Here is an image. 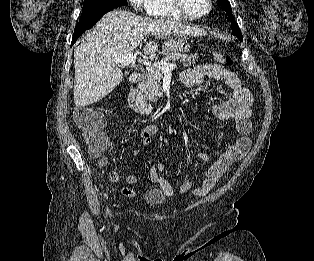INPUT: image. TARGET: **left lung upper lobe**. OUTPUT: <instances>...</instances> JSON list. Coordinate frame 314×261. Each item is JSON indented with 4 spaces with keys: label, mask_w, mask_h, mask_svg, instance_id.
<instances>
[{
    "label": "left lung upper lobe",
    "mask_w": 314,
    "mask_h": 261,
    "mask_svg": "<svg viewBox=\"0 0 314 261\" xmlns=\"http://www.w3.org/2000/svg\"><path fill=\"white\" fill-rule=\"evenodd\" d=\"M219 5L226 11L228 14L230 21H231V29L233 31V34L240 40L243 41L242 34L240 31V28L238 24L235 22L233 15H232V9L231 5L228 0H217Z\"/></svg>",
    "instance_id": "5c2ea615"
}]
</instances>
